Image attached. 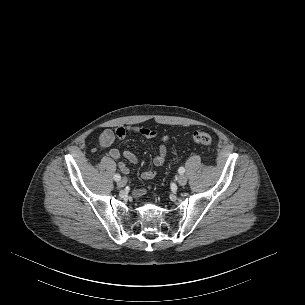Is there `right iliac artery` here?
<instances>
[{
	"mask_svg": "<svg viewBox=\"0 0 305 305\" xmlns=\"http://www.w3.org/2000/svg\"><path fill=\"white\" fill-rule=\"evenodd\" d=\"M121 179V176L119 174L114 175V180L119 181Z\"/></svg>",
	"mask_w": 305,
	"mask_h": 305,
	"instance_id": "82829eb1",
	"label": "right iliac artery"
}]
</instances>
